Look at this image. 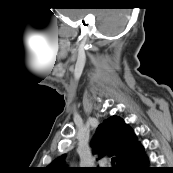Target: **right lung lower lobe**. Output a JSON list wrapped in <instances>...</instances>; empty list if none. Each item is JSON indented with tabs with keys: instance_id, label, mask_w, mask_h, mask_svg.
<instances>
[{
	"instance_id": "1",
	"label": "right lung lower lobe",
	"mask_w": 173,
	"mask_h": 173,
	"mask_svg": "<svg viewBox=\"0 0 173 173\" xmlns=\"http://www.w3.org/2000/svg\"><path fill=\"white\" fill-rule=\"evenodd\" d=\"M116 173H155L153 167L148 166V158L143 147L126 157L115 171Z\"/></svg>"
}]
</instances>
